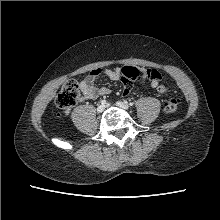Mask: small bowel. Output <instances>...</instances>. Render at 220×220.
<instances>
[{
    "instance_id": "small-bowel-1",
    "label": "small bowel",
    "mask_w": 220,
    "mask_h": 220,
    "mask_svg": "<svg viewBox=\"0 0 220 220\" xmlns=\"http://www.w3.org/2000/svg\"><path fill=\"white\" fill-rule=\"evenodd\" d=\"M121 71L119 68L115 69H94L92 70L80 83V88L83 93V96L86 99H95L98 96L106 95L110 92V90L106 87H98L96 86V80L101 77L105 76L110 80L117 81L120 79ZM147 70L142 71V80L144 81L147 79ZM160 80H151L150 86L153 89H156L159 85ZM125 94V93H124ZM128 94V93H127Z\"/></svg>"
}]
</instances>
